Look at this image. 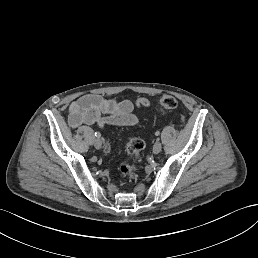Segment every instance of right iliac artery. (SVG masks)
<instances>
[{"mask_svg": "<svg viewBox=\"0 0 258 258\" xmlns=\"http://www.w3.org/2000/svg\"><path fill=\"white\" fill-rule=\"evenodd\" d=\"M95 136L100 138L101 137V134L99 132H95Z\"/></svg>", "mask_w": 258, "mask_h": 258, "instance_id": "1", "label": "right iliac artery"}]
</instances>
